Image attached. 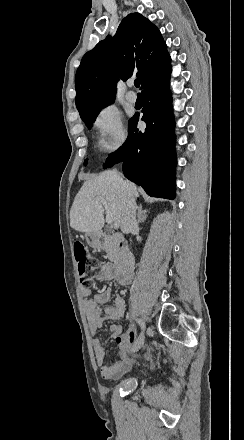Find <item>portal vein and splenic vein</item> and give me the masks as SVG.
I'll return each mask as SVG.
<instances>
[{"instance_id":"obj_1","label":"portal vein and splenic vein","mask_w":244,"mask_h":440,"mask_svg":"<svg viewBox=\"0 0 244 440\" xmlns=\"http://www.w3.org/2000/svg\"><path fill=\"white\" fill-rule=\"evenodd\" d=\"M99 202H101V204H103L104 208H107L106 200H103V198H100ZM106 212H107V214H106V222H107V224H113L114 218H113L111 212H109V210H106Z\"/></svg>"}]
</instances>
